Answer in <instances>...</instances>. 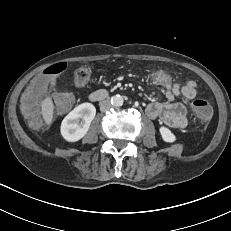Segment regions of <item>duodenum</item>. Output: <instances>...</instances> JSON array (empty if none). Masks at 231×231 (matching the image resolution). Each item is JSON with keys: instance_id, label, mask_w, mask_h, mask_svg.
<instances>
[{"instance_id": "1", "label": "duodenum", "mask_w": 231, "mask_h": 231, "mask_svg": "<svg viewBox=\"0 0 231 231\" xmlns=\"http://www.w3.org/2000/svg\"><path fill=\"white\" fill-rule=\"evenodd\" d=\"M108 91L105 89H100L97 91H94L90 94L89 98L91 101H101L108 97Z\"/></svg>"}]
</instances>
